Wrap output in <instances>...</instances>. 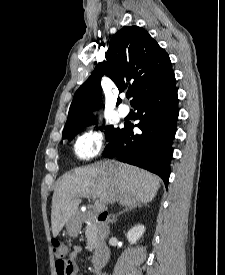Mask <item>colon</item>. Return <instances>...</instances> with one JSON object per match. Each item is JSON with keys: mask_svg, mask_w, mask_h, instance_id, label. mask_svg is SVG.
<instances>
[{"mask_svg": "<svg viewBox=\"0 0 225 275\" xmlns=\"http://www.w3.org/2000/svg\"><path fill=\"white\" fill-rule=\"evenodd\" d=\"M104 221H111L113 217L108 212H103L99 215ZM53 252L57 257L56 261V272L58 275H67L71 272V268L66 260V256L68 254L67 245L60 240H53L52 242Z\"/></svg>", "mask_w": 225, "mask_h": 275, "instance_id": "1", "label": "colon"}]
</instances>
